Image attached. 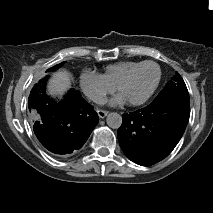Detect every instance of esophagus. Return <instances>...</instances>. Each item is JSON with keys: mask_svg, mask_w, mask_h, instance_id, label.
Masks as SVG:
<instances>
[{"mask_svg": "<svg viewBox=\"0 0 213 213\" xmlns=\"http://www.w3.org/2000/svg\"><path fill=\"white\" fill-rule=\"evenodd\" d=\"M97 113H98V116L100 117V118H104V117H106L107 116V114H108V111H105V110H97Z\"/></svg>", "mask_w": 213, "mask_h": 213, "instance_id": "obj_1", "label": "esophagus"}]
</instances>
